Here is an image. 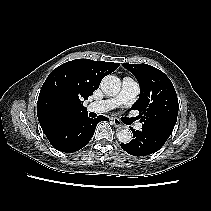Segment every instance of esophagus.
<instances>
[{"label": "esophagus", "mask_w": 211, "mask_h": 211, "mask_svg": "<svg viewBox=\"0 0 211 211\" xmlns=\"http://www.w3.org/2000/svg\"><path fill=\"white\" fill-rule=\"evenodd\" d=\"M112 122H113L115 127H119V128L123 127V124L121 123V121L116 119V118H113Z\"/></svg>", "instance_id": "esophagus-1"}]
</instances>
